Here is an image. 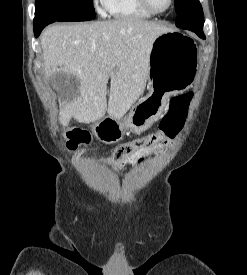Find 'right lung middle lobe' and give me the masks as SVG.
Returning <instances> with one entry per match:
<instances>
[{
    "label": "right lung middle lobe",
    "mask_w": 247,
    "mask_h": 275,
    "mask_svg": "<svg viewBox=\"0 0 247 275\" xmlns=\"http://www.w3.org/2000/svg\"><path fill=\"white\" fill-rule=\"evenodd\" d=\"M34 22L88 21L95 18L93 0H36Z\"/></svg>",
    "instance_id": "1"
}]
</instances>
